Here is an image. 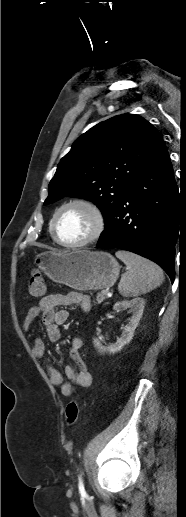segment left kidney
<instances>
[{"mask_svg": "<svg viewBox=\"0 0 186 517\" xmlns=\"http://www.w3.org/2000/svg\"><path fill=\"white\" fill-rule=\"evenodd\" d=\"M144 304L145 301L143 298H134L130 301H120L115 303L113 306L115 311L119 312L121 310L129 309V312L132 313V316L129 319L128 324L123 328V332L120 338L117 339L116 343L111 344L108 347H103L98 339H93L94 347L98 350V352L116 353L132 340L134 331L142 317Z\"/></svg>", "mask_w": 186, "mask_h": 517, "instance_id": "obj_1", "label": "left kidney"}]
</instances>
